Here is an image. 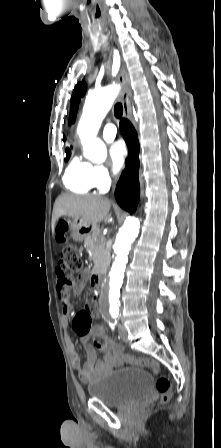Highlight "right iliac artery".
Returning <instances> with one entry per match:
<instances>
[{"instance_id": "obj_1", "label": "right iliac artery", "mask_w": 221, "mask_h": 448, "mask_svg": "<svg viewBox=\"0 0 221 448\" xmlns=\"http://www.w3.org/2000/svg\"><path fill=\"white\" fill-rule=\"evenodd\" d=\"M114 324H116V321H115V323H112L111 326L114 327Z\"/></svg>"}]
</instances>
